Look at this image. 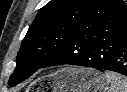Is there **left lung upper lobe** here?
I'll use <instances>...</instances> for the list:
<instances>
[{"mask_svg": "<svg viewBox=\"0 0 127 92\" xmlns=\"http://www.w3.org/2000/svg\"><path fill=\"white\" fill-rule=\"evenodd\" d=\"M123 4L121 0H51L41 8L22 41L9 85L27 79L77 33Z\"/></svg>", "mask_w": 127, "mask_h": 92, "instance_id": "left-lung-upper-lobe-1", "label": "left lung upper lobe"}]
</instances>
